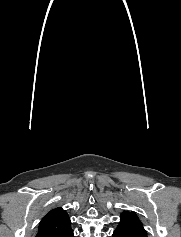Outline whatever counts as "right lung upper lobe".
I'll return each mask as SVG.
<instances>
[{"label":"right lung upper lobe","instance_id":"obj_1","mask_svg":"<svg viewBox=\"0 0 181 237\" xmlns=\"http://www.w3.org/2000/svg\"><path fill=\"white\" fill-rule=\"evenodd\" d=\"M71 232L68 214L61 207H57L41 220L36 237H68Z\"/></svg>","mask_w":181,"mask_h":237}]
</instances>
